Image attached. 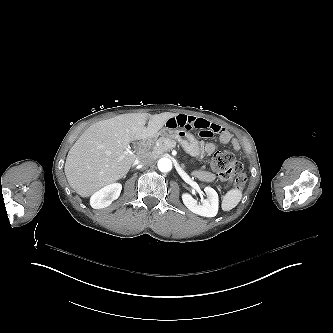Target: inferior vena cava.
<instances>
[{
  "label": "inferior vena cava",
  "mask_w": 333,
  "mask_h": 333,
  "mask_svg": "<svg viewBox=\"0 0 333 333\" xmlns=\"http://www.w3.org/2000/svg\"><path fill=\"white\" fill-rule=\"evenodd\" d=\"M153 162H154V158L153 157L143 156V157L137 159V162L135 163V165H138V164L150 165V164H153Z\"/></svg>",
  "instance_id": "1"
}]
</instances>
